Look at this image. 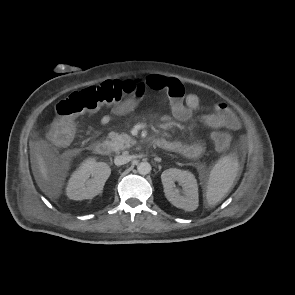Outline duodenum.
I'll list each match as a JSON object with an SVG mask.
<instances>
[{
	"label": "duodenum",
	"mask_w": 295,
	"mask_h": 295,
	"mask_svg": "<svg viewBox=\"0 0 295 295\" xmlns=\"http://www.w3.org/2000/svg\"><path fill=\"white\" fill-rule=\"evenodd\" d=\"M152 145L160 147L162 145L161 139L152 138L149 141ZM91 149L98 155L106 156L110 152V146L105 141H95L91 144Z\"/></svg>",
	"instance_id": "duodenum-1"
}]
</instances>
